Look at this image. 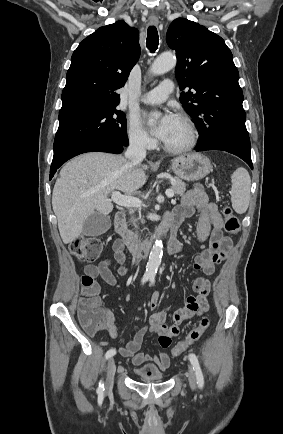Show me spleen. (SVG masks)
I'll return each mask as SVG.
<instances>
[{
  "mask_svg": "<svg viewBox=\"0 0 283 434\" xmlns=\"http://www.w3.org/2000/svg\"><path fill=\"white\" fill-rule=\"evenodd\" d=\"M232 189L231 202L232 207L238 214H243L248 209L250 201L251 179L249 173L244 168H238L231 175Z\"/></svg>",
  "mask_w": 283,
  "mask_h": 434,
  "instance_id": "spleen-1",
  "label": "spleen"
}]
</instances>
